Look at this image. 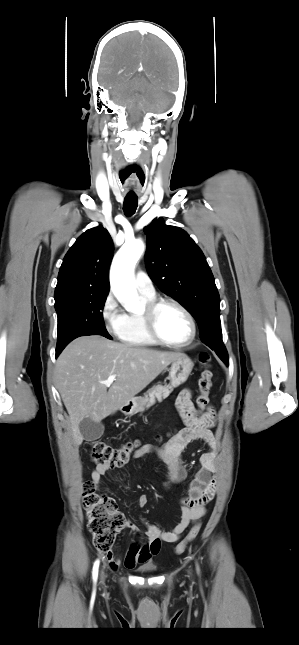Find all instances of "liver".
Here are the masks:
<instances>
[{
  "label": "liver",
  "mask_w": 299,
  "mask_h": 645,
  "mask_svg": "<svg viewBox=\"0 0 299 645\" xmlns=\"http://www.w3.org/2000/svg\"><path fill=\"white\" fill-rule=\"evenodd\" d=\"M183 354L119 343L102 336H82L59 355L56 387L68 411L76 446L83 442L80 422H100L132 400ZM111 375V386L102 382Z\"/></svg>",
  "instance_id": "1"
}]
</instances>
